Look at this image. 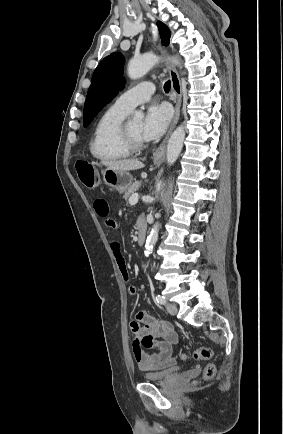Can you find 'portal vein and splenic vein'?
<instances>
[{"label": "portal vein and splenic vein", "instance_id": "obj_1", "mask_svg": "<svg viewBox=\"0 0 283 434\" xmlns=\"http://www.w3.org/2000/svg\"><path fill=\"white\" fill-rule=\"evenodd\" d=\"M138 199H139V195H138V194H133V195L130 197V199H129V203H130V205H135V204H137Z\"/></svg>", "mask_w": 283, "mask_h": 434}]
</instances>
